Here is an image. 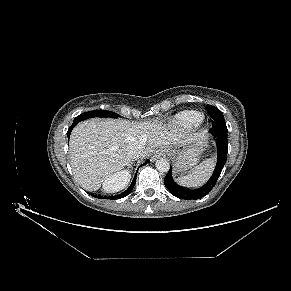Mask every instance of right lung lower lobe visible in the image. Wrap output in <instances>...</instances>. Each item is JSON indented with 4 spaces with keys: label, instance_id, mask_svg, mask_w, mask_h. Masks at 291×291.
I'll return each mask as SVG.
<instances>
[{
    "label": "right lung lower lobe",
    "instance_id": "1",
    "mask_svg": "<svg viewBox=\"0 0 291 291\" xmlns=\"http://www.w3.org/2000/svg\"><path fill=\"white\" fill-rule=\"evenodd\" d=\"M78 122H73L72 126L68 129V132H67V136L68 138L70 137V133L72 131V129L74 128V126L77 124ZM146 163L142 164V165H145ZM141 165V166H142ZM135 183H136V176H134V179L131 183V185L129 186V188L127 190H125L123 193L119 194V195H116V196H111V197H107L108 199H120V198H123L125 196H127L130 192H132L134 186H135ZM98 198H100V196H97Z\"/></svg>",
    "mask_w": 291,
    "mask_h": 291
}]
</instances>
